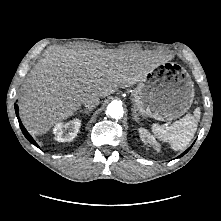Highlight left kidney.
Returning <instances> with one entry per match:
<instances>
[{
	"mask_svg": "<svg viewBox=\"0 0 221 221\" xmlns=\"http://www.w3.org/2000/svg\"><path fill=\"white\" fill-rule=\"evenodd\" d=\"M139 135L144 144H149L156 148V150H160L159 144L156 142L153 135H151L146 129L139 128Z\"/></svg>",
	"mask_w": 221,
	"mask_h": 221,
	"instance_id": "1",
	"label": "left kidney"
}]
</instances>
